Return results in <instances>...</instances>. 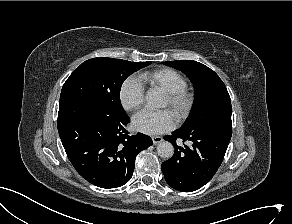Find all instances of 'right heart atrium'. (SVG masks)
I'll return each mask as SVG.
<instances>
[{
    "label": "right heart atrium",
    "instance_id": "obj_1",
    "mask_svg": "<svg viewBox=\"0 0 292 224\" xmlns=\"http://www.w3.org/2000/svg\"><path fill=\"white\" fill-rule=\"evenodd\" d=\"M119 100L126 111L138 109L144 101V87L135 77L125 79L119 88Z\"/></svg>",
    "mask_w": 292,
    "mask_h": 224
}]
</instances>
